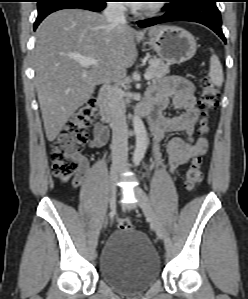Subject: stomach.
Here are the masks:
<instances>
[{
	"label": "stomach",
	"instance_id": "1",
	"mask_svg": "<svg viewBox=\"0 0 248 299\" xmlns=\"http://www.w3.org/2000/svg\"><path fill=\"white\" fill-rule=\"evenodd\" d=\"M148 43L169 64L186 62L197 50L194 36L177 26H162L155 35L150 36Z\"/></svg>",
	"mask_w": 248,
	"mask_h": 299
}]
</instances>
